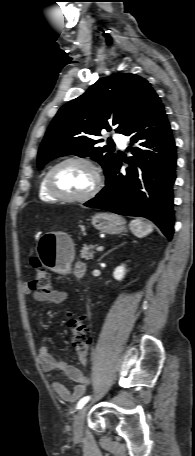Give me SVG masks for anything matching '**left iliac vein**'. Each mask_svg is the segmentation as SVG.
<instances>
[{"label":"left iliac vein","instance_id":"obj_1","mask_svg":"<svg viewBox=\"0 0 195 456\" xmlns=\"http://www.w3.org/2000/svg\"><path fill=\"white\" fill-rule=\"evenodd\" d=\"M88 410V405H83L74 417L73 433L74 438L79 440L83 435V423Z\"/></svg>","mask_w":195,"mask_h":456}]
</instances>
